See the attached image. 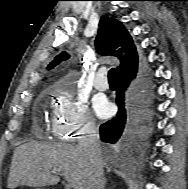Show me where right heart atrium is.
<instances>
[{
  "label": "right heart atrium",
  "mask_w": 188,
  "mask_h": 189,
  "mask_svg": "<svg viewBox=\"0 0 188 189\" xmlns=\"http://www.w3.org/2000/svg\"><path fill=\"white\" fill-rule=\"evenodd\" d=\"M55 101L52 132L56 137L74 141L95 132L96 123L86 102L65 88H57Z\"/></svg>",
  "instance_id": "d8ad5b80"
}]
</instances>
